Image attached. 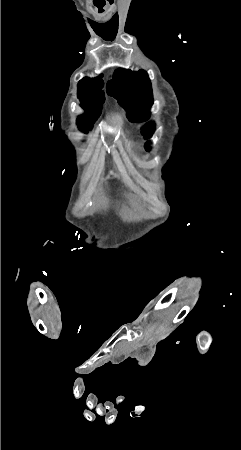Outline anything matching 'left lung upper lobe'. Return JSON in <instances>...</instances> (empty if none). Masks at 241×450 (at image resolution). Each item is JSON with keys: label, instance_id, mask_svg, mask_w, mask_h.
<instances>
[{"label": "left lung upper lobe", "instance_id": "left-lung-upper-lobe-1", "mask_svg": "<svg viewBox=\"0 0 241 450\" xmlns=\"http://www.w3.org/2000/svg\"><path fill=\"white\" fill-rule=\"evenodd\" d=\"M107 93L116 98L127 112L132 122H143L149 119V109L153 105V94L148 74L144 70L133 72L128 69H117L113 79L107 83ZM154 132V124L148 123L143 128L145 139Z\"/></svg>", "mask_w": 241, "mask_h": 450}]
</instances>
